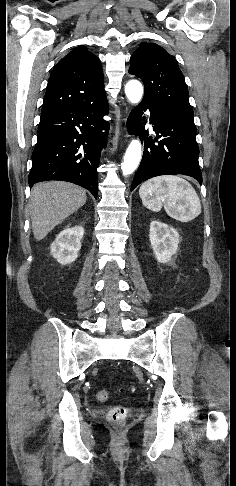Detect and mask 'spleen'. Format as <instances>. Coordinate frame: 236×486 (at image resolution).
<instances>
[{"instance_id": "obj_1", "label": "spleen", "mask_w": 236, "mask_h": 486, "mask_svg": "<svg viewBox=\"0 0 236 486\" xmlns=\"http://www.w3.org/2000/svg\"><path fill=\"white\" fill-rule=\"evenodd\" d=\"M139 195L146 208L158 212L164 206L168 215L181 222L191 221L201 213L195 189L179 176L152 178L141 185Z\"/></svg>"}]
</instances>
